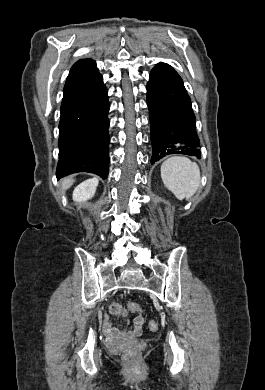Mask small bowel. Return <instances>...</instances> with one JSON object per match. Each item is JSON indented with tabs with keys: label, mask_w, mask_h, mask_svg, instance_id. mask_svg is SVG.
Returning a JSON list of instances; mask_svg holds the SVG:
<instances>
[{
	"label": "small bowel",
	"mask_w": 265,
	"mask_h": 390,
	"mask_svg": "<svg viewBox=\"0 0 265 390\" xmlns=\"http://www.w3.org/2000/svg\"><path fill=\"white\" fill-rule=\"evenodd\" d=\"M144 325V318L142 316H137L134 318L133 327L128 330H120L116 328L109 320L108 317H104V330L109 335H120L126 338H135L138 337L142 333Z\"/></svg>",
	"instance_id": "small-bowel-1"
}]
</instances>
